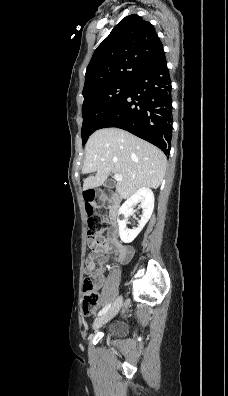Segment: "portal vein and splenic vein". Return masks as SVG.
I'll return each mask as SVG.
<instances>
[{"mask_svg": "<svg viewBox=\"0 0 228 396\" xmlns=\"http://www.w3.org/2000/svg\"><path fill=\"white\" fill-rule=\"evenodd\" d=\"M122 175H120V174H115L114 175V179L116 180V181H121L122 180Z\"/></svg>", "mask_w": 228, "mask_h": 396, "instance_id": "1", "label": "portal vein and splenic vein"}]
</instances>
